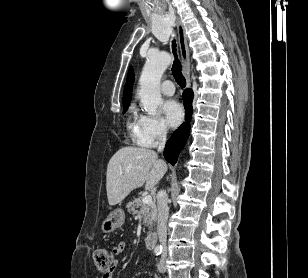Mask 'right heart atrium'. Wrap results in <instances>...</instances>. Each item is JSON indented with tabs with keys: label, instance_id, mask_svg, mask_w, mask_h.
Masks as SVG:
<instances>
[{
	"label": "right heart atrium",
	"instance_id": "1",
	"mask_svg": "<svg viewBox=\"0 0 308 278\" xmlns=\"http://www.w3.org/2000/svg\"><path fill=\"white\" fill-rule=\"evenodd\" d=\"M168 129L157 117L141 116L137 142L144 147H154L167 137Z\"/></svg>",
	"mask_w": 308,
	"mask_h": 278
}]
</instances>
